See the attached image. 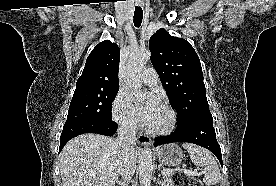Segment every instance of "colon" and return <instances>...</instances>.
Returning <instances> with one entry per match:
<instances>
[{"mask_svg":"<svg viewBox=\"0 0 276 186\" xmlns=\"http://www.w3.org/2000/svg\"><path fill=\"white\" fill-rule=\"evenodd\" d=\"M176 186H204L198 178L190 177L184 174H176Z\"/></svg>","mask_w":276,"mask_h":186,"instance_id":"colon-1","label":"colon"}]
</instances>
